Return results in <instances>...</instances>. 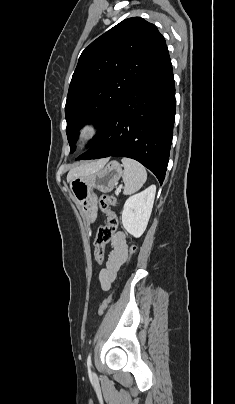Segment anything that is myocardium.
<instances>
[{
    "instance_id": "1",
    "label": "myocardium",
    "mask_w": 235,
    "mask_h": 404,
    "mask_svg": "<svg viewBox=\"0 0 235 404\" xmlns=\"http://www.w3.org/2000/svg\"><path fill=\"white\" fill-rule=\"evenodd\" d=\"M99 123L96 119H88L84 121L78 130V139L81 142H89L99 133Z\"/></svg>"
}]
</instances>
